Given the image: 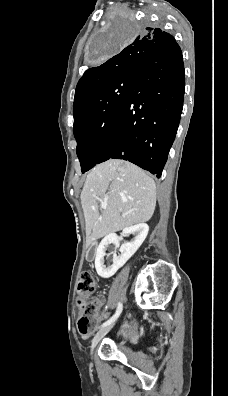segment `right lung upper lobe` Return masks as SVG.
<instances>
[{
	"label": "right lung upper lobe",
	"mask_w": 228,
	"mask_h": 396,
	"mask_svg": "<svg viewBox=\"0 0 228 396\" xmlns=\"http://www.w3.org/2000/svg\"><path fill=\"white\" fill-rule=\"evenodd\" d=\"M173 36L159 28L146 27L117 55L98 67L88 69L79 80L74 98V116L87 99L113 79L135 74L140 62L154 49L169 47Z\"/></svg>",
	"instance_id": "1"
}]
</instances>
